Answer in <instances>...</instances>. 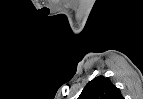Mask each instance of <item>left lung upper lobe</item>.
I'll return each mask as SVG.
<instances>
[{
	"label": "left lung upper lobe",
	"mask_w": 143,
	"mask_h": 99,
	"mask_svg": "<svg viewBox=\"0 0 143 99\" xmlns=\"http://www.w3.org/2000/svg\"><path fill=\"white\" fill-rule=\"evenodd\" d=\"M120 90L104 76L95 77L83 89L78 99H122Z\"/></svg>",
	"instance_id": "5c2ea615"
}]
</instances>
